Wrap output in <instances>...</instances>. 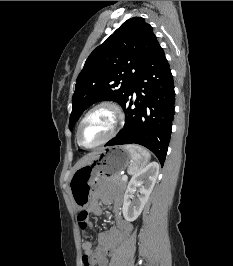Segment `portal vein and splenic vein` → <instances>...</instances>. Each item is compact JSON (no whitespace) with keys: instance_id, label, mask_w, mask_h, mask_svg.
Instances as JSON below:
<instances>
[{"instance_id":"18ae733b","label":"portal vein and splenic vein","mask_w":233,"mask_h":266,"mask_svg":"<svg viewBox=\"0 0 233 266\" xmlns=\"http://www.w3.org/2000/svg\"><path fill=\"white\" fill-rule=\"evenodd\" d=\"M127 179H128L127 175H123V176H122V180H123V181H127Z\"/></svg>"}]
</instances>
